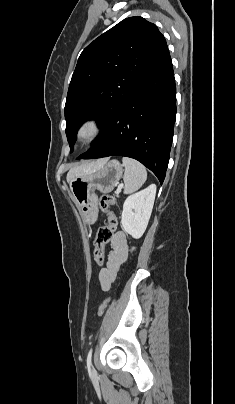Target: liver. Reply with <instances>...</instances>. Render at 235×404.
<instances>
[{"mask_svg": "<svg viewBox=\"0 0 235 404\" xmlns=\"http://www.w3.org/2000/svg\"><path fill=\"white\" fill-rule=\"evenodd\" d=\"M107 160L108 159H99L71 168L67 174V182L70 183V181L75 177L83 176L98 170L105 164Z\"/></svg>", "mask_w": 235, "mask_h": 404, "instance_id": "1", "label": "liver"}]
</instances>
